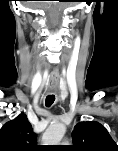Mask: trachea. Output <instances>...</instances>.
Here are the masks:
<instances>
[{"instance_id": "3493384b", "label": "trachea", "mask_w": 118, "mask_h": 151, "mask_svg": "<svg viewBox=\"0 0 118 151\" xmlns=\"http://www.w3.org/2000/svg\"><path fill=\"white\" fill-rule=\"evenodd\" d=\"M55 101V96L54 95H48L46 97V100H45V104L47 107H50Z\"/></svg>"}]
</instances>
